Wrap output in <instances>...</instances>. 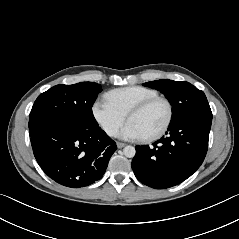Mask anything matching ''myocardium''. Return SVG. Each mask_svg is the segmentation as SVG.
<instances>
[{"label":"myocardium","mask_w":239,"mask_h":239,"mask_svg":"<svg viewBox=\"0 0 239 239\" xmlns=\"http://www.w3.org/2000/svg\"><path fill=\"white\" fill-rule=\"evenodd\" d=\"M158 101H162L166 104L167 109H168L167 118H166L164 124L156 132L142 137V139L145 141H152V140L158 139L168 130L169 126L172 123L173 116H174V108H173L172 102L167 97L158 95V96L146 99L143 102L139 103L138 105L134 106L126 115L127 120H129L132 116L145 111L147 108H149L150 106H152L154 103H156Z\"/></svg>","instance_id":"f54148a6"}]
</instances>
